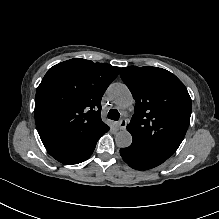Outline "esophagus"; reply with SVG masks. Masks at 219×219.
Returning a JSON list of instances; mask_svg holds the SVG:
<instances>
[{"instance_id":"esophagus-1","label":"esophagus","mask_w":219,"mask_h":219,"mask_svg":"<svg viewBox=\"0 0 219 219\" xmlns=\"http://www.w3.org/2000/svg\"><path fill=\"white\" fill-rule=\"evenodd\" d=\"M127 121L125 119H122L120 122L117 123V127L120 130L126 129Z\"/></svg>"}]
</instances>
